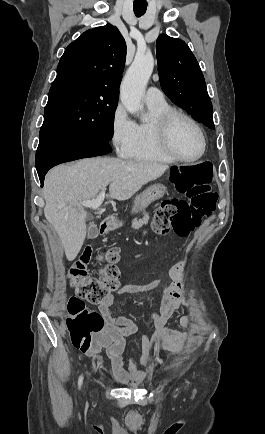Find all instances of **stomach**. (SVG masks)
I'll use <instances>...</instances> for the list:
<instances>
[{
    "label": "stomach",
    "instance_id": "0dacf381",
    "mask_svg": "<svg viewBox=\"0 0 265 434\" xmlns=\"http://www.w3.org/2000/svg\"><path fill=\"white\" fill-rule=\"evenodd\" d=\"M165 192L166 188L163 186V184H153V186H149V188L144 190L140 196H137L132 208L133 212H139V210H143V208L149 206L151 202H155V200L162 198ZM115 229H119V226H115Z\"/></svg>",
    "mask_w": 265,
    "mask_h": 434
}]
</instances>
